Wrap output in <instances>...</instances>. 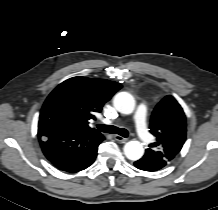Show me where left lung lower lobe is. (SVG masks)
<instances>
[{
  "instance_id": "left-lung-lower-lobe-1",
  "label": "left lung lower lobe",
  "mask_w": 218,
  "mask_h": 210,
  "mask_svg": "<svg viewBox=\"0 0 218 210\" xmlns=\"http://www.w3.org/2000/svg\"><path fill=\"white\" fill-rule=\"evenodd\" d=\"M134 165L138 169L145 171H157L164 167L163 163L154 161L148 153H145V155L140 160L136 161Z\"/></svg>"
}]
</instances>
